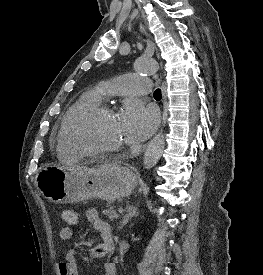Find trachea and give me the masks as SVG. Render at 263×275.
Wrapping results in <instances>:
<instances>
[{"mask_svg":"<svg viewBox=\"0 0 263 275\" xmlns=\"http://www.w3.org/2000/svg\"><path fill=\"white\" fill-rule=\"evenodd\" d=\"M154 98L161 99V90L160 89H156L154 91Z\"/></svg>","mask_w":263,"mask_h":275,"instance_id":"obj_1","label":"trachea"}]
</instances>
